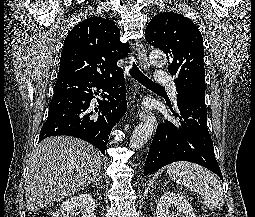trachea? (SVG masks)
Segmentation results:
<instances>
[{
	"label": "trachea",
	"instance_id": "1",
	"mask_svg": "<svg viewBox=\"0 0 255 217\" xmlns=\"http://www.w3.org/2000/svg\"><path fill=\"white\" fill-rule=\"evenodd\" d=\"M129 74L137 80L139 83H141L143 86L150 88V89H164L163 86L156 84L152 80H150L148 77H146L137 67L135 62L132 63V67L129 70Z\"/></svg>",
	"mask_w": 255,
	"mask_h": 217
}]
</instances>
